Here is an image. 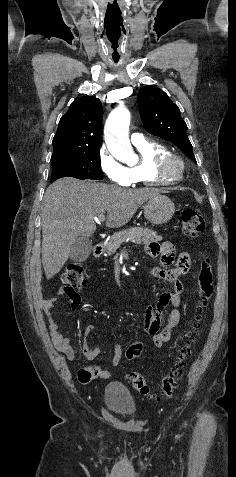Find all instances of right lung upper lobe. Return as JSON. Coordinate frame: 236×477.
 <instances>
[{
	"instance_id": "obj_1",
	"label": "right lung upper lobe",
	"mask_w": 236,
	"mask_h": 477,
	"mask_svg": "<svg viewBox=\"0 0 236 477\" xmlns=\"http://www.w3.org/2000/svg\"><path fill=\"white\" fill-rule=\"evenodd\" d=\"M102 104L94 96L76 99L59 122L51 161L99 149L102 144Z\"/></svg>"
}]
</instances>
